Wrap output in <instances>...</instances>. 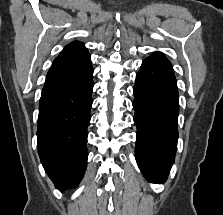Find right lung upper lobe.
Here are the masks:
<instances>
[{
	"instance_id": "obj_1",
	"label": "right lung upper lobe",
	"mask_w": 223,
	"mask_h": 215,
	"mask_svg": "<svg viewBox=\"0 0 223 215\" xmlns=\"http://www.w3.org/2000/svg\"><path fill=\"white\" fill-rule=\"evenodd\" d=\"M91 68V57L84 44L78 41L72 42L66 45L54 60L44 87L78 78Z\"/></svg>"
}]
</instances>
